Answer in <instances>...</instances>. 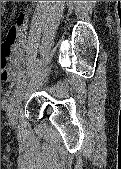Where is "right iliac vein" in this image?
Masks as SVG:
<instances>
[{"mask_svg": "<svg viewBox=\"0 0 121 169\" xmlns=\"http://www.w3.org/2000/svg\"><path fill=\"white\" fill-rule=\"evenodd\" d=\"M26 87H27L26 82H22L21 84H19V86L17 87V89L15 90L11 98L8 117H9L10 124L12 126L16 125L18 112L23 100Z\"/></svg>", "mask_w": 121, "mask_h": 169, "instance_id": "1", "label": "right iliac vein"}]
</instances>
